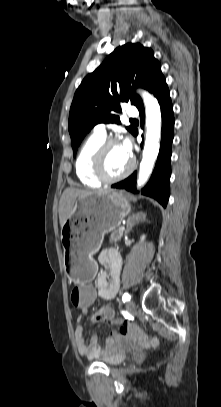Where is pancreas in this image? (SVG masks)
<instances>
[{"label":"pancreas","mask_w":221,"mask_h":407,"mask_svg":"<svg viewBox=\"0 0 221 407\" xmlns=\"http://www.w3.org/2000/svg\"><path fill=\"white\" fill-rule=\"evenodd\" d=\"M122 236H123V231H119V230L114 231L110 235V242L111 243H116V242L121 240Z\"/></svg>","instance_id":"cf45deb5"}]
</instances>
